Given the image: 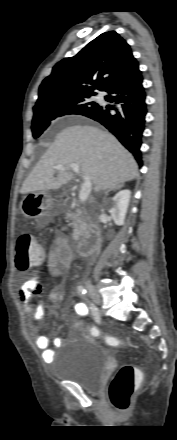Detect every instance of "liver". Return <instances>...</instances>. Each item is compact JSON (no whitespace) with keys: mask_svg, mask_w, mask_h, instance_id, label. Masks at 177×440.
I'll use <instances>...</instances> for the list:
<instances>
[{"mask_svg":"<svg viewBox=\"0 0 177 440\" xmlns=\"http://www.w3.org/2000/svg\"><path fill=\"white\" fill-rule=\"evenodd\" d=\"M73 163L79 165L83 177L91 178L96 192L131 181L138 175L134 157L112 134L94 126L76 125L56 135L20 192L59 189L73 178ZM58 164H63V170L55 178Z\"/></svg>","mask_w":177,"mask_h":440,"instance_id":"obj_1","label":"liver"}]
</instances>
